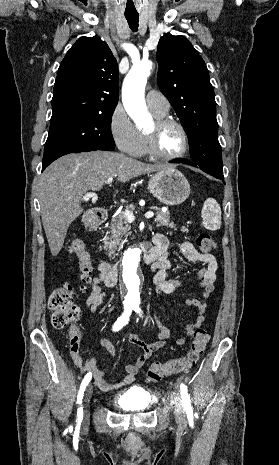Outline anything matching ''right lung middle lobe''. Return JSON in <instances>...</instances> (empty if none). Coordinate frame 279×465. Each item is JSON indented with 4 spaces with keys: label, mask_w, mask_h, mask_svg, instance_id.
I'll use <instances>...</instances> for the list:
<instances>
[{
    "label": "right lung middle lobe",
    "mask_w": 279,
    "mask_h": 465,
    "mask_svg": "<svg viewBox=\"0 0 279 465\" xmlns=\"http://www.w3.org/2000/svg\"><path fill=\"white\" fill-rule=\"evenodd\" d=\"M113 112L114 109L51 124L42 165H49L66 154L81 152L87 146L114 147L110 128Z\"/></svg>",
    "instance_id": "dd1d6c3e"
}]
</instances>
